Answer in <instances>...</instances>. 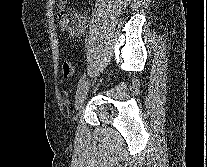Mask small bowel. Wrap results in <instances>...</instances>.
Segmentation results:
<instances>
[{
  "instance_id": "small-bowel-1",
  "label": "small bowel",
  "mask_w": 207,
  "mask_h": 167,
  "mask_svg": "<svg viewBox=\"0 0 207 167\" xmlns=\"http://www.w3.org/2000/svg\"><path fill=\"white\" fill-rule=\"evenodd\" d=\"M58 12L59 26L69 37L77 38L84 32L89 22V9L71 12L68 10L66 0H60Z\"/></svg>"
}]
</instances>
